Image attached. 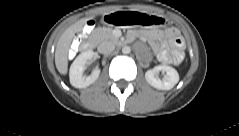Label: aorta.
I'll return each instance as SVG.
<instances>
[{
  "label": "aorta",
  "mask_w": 239,
  "mask_h": 136,
  "mask_svg": "<svg viewBox=\"0 0 239 136\" xmlns=\"http://www.w3.org/2000/svg\"><path fill=\"white\" fill-rule=\"evenodd\" d=\"M130 51H131V49H130L129 46H124V47L122 48V52H123V54H129Z\"/></svg>",
  "instance_id": "762f6f07"
}]
</instances>
